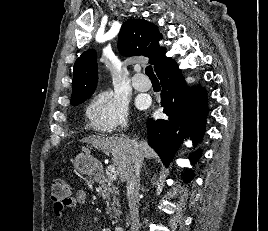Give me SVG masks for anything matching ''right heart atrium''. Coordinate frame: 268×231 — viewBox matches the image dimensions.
<instances>
[{
	"label": "right heart atrium",
	"instance_id": "d8ad5b80",
	"mask_svg": "<svg viewBox=\"0 0 268 231\" xmlns=\"http://www.w3.org/2000/svg\"><path fill=\"white\" fill-rule=\"evenodd\" d=\"M86 115L95 131L106 134L120 132L128 119L127 102L112 90H101L90 100Z\"/></svg>",
	"mask_w": 268,
	"mask_h": 231
}]
</instances>
